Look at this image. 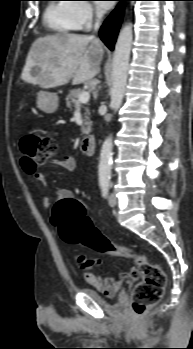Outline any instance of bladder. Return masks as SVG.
<instances>
[{"label":"bladder","instance_id":"obj_1","mask_svg":"<svg viewBox=\"0 0 193 349\" xmlns=\"http://www.w3.org/2000/svg\"><path fill=\"white\" fill-rule=\"evenodd\" d=\"M84 292L89 295L96 303L106 306V307H110V304L107 302V300L105 299V297L98 292L96 289H92V288H84ZM123 298V293H119L116 296V300H119Z\"/></svg>","mask_w":193,"mask_h":349}]
</instances>
